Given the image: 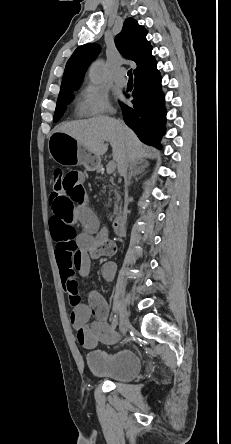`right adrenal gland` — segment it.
<instances>
[{"mask_svg": "<svg viewBox=\"0 0 231 444\" xmlns=\"http://www.w3.org/2000/svg\"><path fill=\"white\" fill-rule=\"evenodd\" d=\"M147 165H148L147 163H143L142 161L131 163L129 166L128 183H130L132 176L143 173Z\"/></svg>", "mask_w": 231, "mask_h": 444, "instance_id": "right-adrenal-gland-1", "label": "right adrenal gland"}]
</instances>
